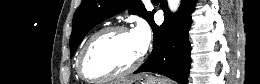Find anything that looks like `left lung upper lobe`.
Here are the masks:
<instances>
[{"label":"left lung upper lobe","mask_w":260,"mask_h":84,"mask_svg":"<svg viewBox=\"0 0 260 84\" xmlns=\"http://www.w3.org/2000/svg\"><path fill=\"white\" fill-rule=\"evenodd\" d=\"M126 9H129L132 14L143 17L151 24L154 11L147 12L140 0H82L73 16L70 37L71 56L90 29Z\"/></svg>","instance_id":"5c2ea615"}]
</instances>
